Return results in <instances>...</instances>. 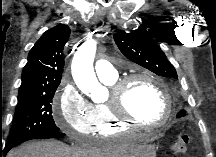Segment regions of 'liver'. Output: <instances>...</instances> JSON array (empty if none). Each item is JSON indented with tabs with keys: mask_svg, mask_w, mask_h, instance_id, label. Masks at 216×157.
Masks as SVG:
<instances>
[{
	"mask_svg": "<svg viewBox=\"0 0 216 157\" xmlns=\"http://www.w3.org/2000/svg\"><path fill=\"white\" fill-rule=\"evenodd\" d=\"M142 146L133 141L102 148L69 147L59 141L31 142L10 151L7 157H136Z\"/></svg>",
	"mask_w": 216,
	"mask_h": 157,
	"instance_id": "liver-1",
	"label": "liver"
}]
</instances>
